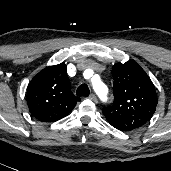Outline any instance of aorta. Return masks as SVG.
Returning a JSON list of instances; mask_svg holds the SVG:
<instances>
[{
  "label": "aorta",
  "instance_id": "762f6f07",
  "mask_svg": "<svg viewBox=\"0 0 171 171\" xmlns=\"http://www.w3.org/2000/svg\"><path fill=\"white\" fill-rule=\"evenodd\" d=\"M93 86H94L97 94L102 99H106V96H107V88H106V86L102 82H100V81L94 82Z\"/></svg>",
  "mask_w": 171,
  "mask_h": 171
}]
</instances>
